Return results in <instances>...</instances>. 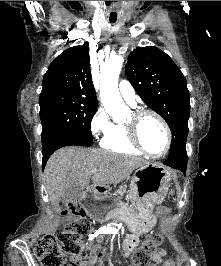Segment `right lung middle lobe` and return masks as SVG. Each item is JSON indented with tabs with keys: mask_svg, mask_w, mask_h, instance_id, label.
<instances>
[{
	"mask_svg": "<svg viewBox=\"0 0 221 266\" xmlns=\"http://www.w3.org/2000/svg\"><path fill=\"white\" fill-rule=\"evenodd\" d=\"M42 149L78 142L93 144L90 129L97 104L77 94L61 90L42 91L39 98Z\"/></svg>",
	"mask_w": 221,
	"mask_h": 266,
	"instance_id": "1",
	"label": "right lung middle lobe"
}]
</instances>
